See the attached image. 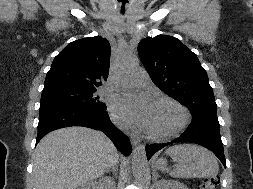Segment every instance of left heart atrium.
Here are the masks:
<instances>
[{"instance_id":"left-heart-atrium-1","label":"left heart atrium","mask_w":253,"mask_h":189,"mask_svg":"<svg viewBox=\"0 0 253 189\" xmlns=\"http://www.w3.org/2000/svg\"><path fill=\"white\" fill-rule=\"evenodd\" d=\"M151 104L147 98H133L123 95L114 100L111 112L114 119L121 125L132 128H146Z\"/></svg>"}]
</instances>
